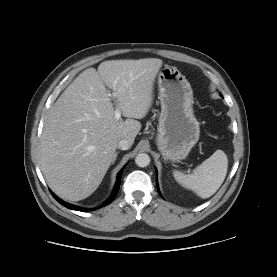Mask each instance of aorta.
<instances>
[{"mask_svg":"<svg viewBox=\"0 0 277 277\" xmlns=\"http://www.w3.org/2000/svg\"><path fill=\"white\" fill-rule=\"evenodd\" d=\"M135 163L139 166V167H146L150 164V157L148 154L146 153H141L138 154L135 158Z\"/></svg>","mask_w":277,"mask_h":277,"instance_id":"1","label":"aorta"}]
</instances>
